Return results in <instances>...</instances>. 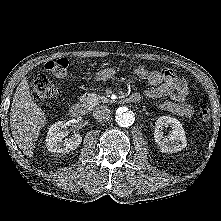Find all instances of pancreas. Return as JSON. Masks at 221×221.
<instances>
[{
  "label": "pancreas",
  "instance_id": "1",
  "mask_svg": "<svg viewBox=\"0 0 221 221\" xmlns=\"http://www.w3.org/2000/svg\"><path fill=\"white\" fill-rule=\"evenodd\" d=\"M88 98L94 102H107L108 99L105 96L97 95V94H89Z\"/></svg>",
  "mask_w": 221,
  "mask_h": 221
}]
</instances>
